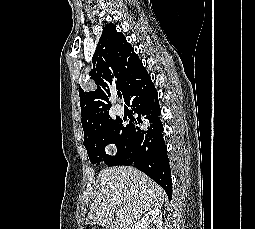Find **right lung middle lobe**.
<instances>
[{
	"instance_id": "right-lung-middle-lobe-1",
	"label": "right lung middle lobe",
	"mask_w": 255,
	"mask_h": 229,
	"mask_svg": "<svg viewBox=\"0 0 255 229\" xmlns=\"http://www.w3.org/2000/svg\"><path fill=\"white\" fill-rule=\"evenodd\" d=\"M110 143L115 144L118 149L115 156L105 153L104 147ZM83 144L93 165L105 161L108 166H116L132 155V139L128 127L120 119L110 118L102 123Z\"/></svg>"
}]
</instances>
